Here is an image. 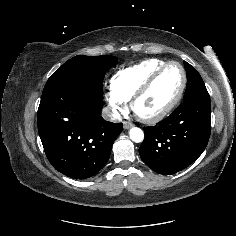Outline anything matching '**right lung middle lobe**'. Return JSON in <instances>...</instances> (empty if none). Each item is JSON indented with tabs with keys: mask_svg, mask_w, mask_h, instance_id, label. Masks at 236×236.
I'll return each mask as SVG.
<instances>
[{
	"mask_svg": "<svg viewBox=\"0 0 236 236\" xmlns=\"http://www.w3.org/2000/svg\"><path fill=\"white\" fill-rule=\"evenodd\" d=\"M116 63L117 57L114 56H75L53 73L42 94L62 86L81 84L95 96L103 98L102 83L105 73Z\"/></svg>",
	"mask_w": 236,
	"mask_h": 236,
	"instance_id": "1",
	"label": "right lung middle lobe"
}]
</instances>
